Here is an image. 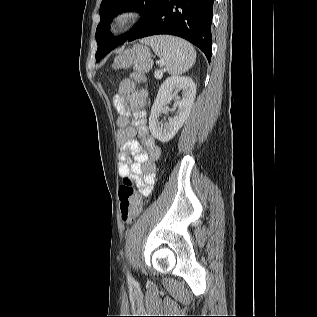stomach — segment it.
Returning <instances> with one entry per match:
<instances>
[{"instance_id":"0dacf381","label":"stomach","mask_w":317,"mask_h":317,"mask_svg":"<svg viewBox=\"0 0 317 317\" xmlns=\"http://www.w3.org/2000/svg\"><path fill=\"white\" fill-rule=\"evenodd\" d=\"M127 54H122L120 57H143L145 59L150 58V51L147 47L135 46L133 49L128 50Z\"/></svg>"}]
</instances>
